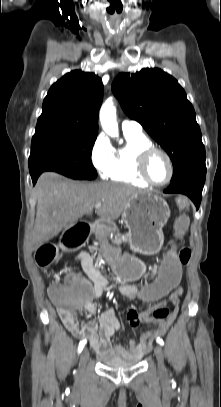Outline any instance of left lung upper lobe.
Masks as SVG:
<instances>
[{
  "mask_svg": "<svg viewBox=\"0 0 221 407\" xmlns=\"http://www.w3.org/2000/svg\"><path fill=\"white\" fill-rule=\"evenodd\" d=\"M112 91L124 112L164 148L173 163L172 180L205 162L195 111L176 79L158 68L121 73Z\"/></svg>",
  "mask_w": 221,
  "mask_h": 407,
  "instance_id": "1",
  "label": "left lung upper lobe"
}]
</instances>
